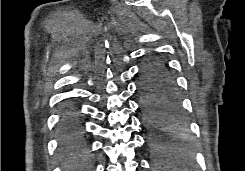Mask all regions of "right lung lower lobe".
Listing matches in <instances>:
<instances>
[{
  "label": "right lung lower lobe",
  "instance_id": "obj_1",
  "mask_svg": "<svg viewBox=\"0 0 245 171\" xmlns=\"http://www.w3.org/2000/svg\"><path fill=\"white\" fill-rule=\"evenodd\" d=\"M60 150L64 155H72L85 144V133L79 108L72 102L66 101L61 109L58 125Z\"/></svg>",
  "mask_w": 245,
  "mask_h": 171
}]
</instances>
